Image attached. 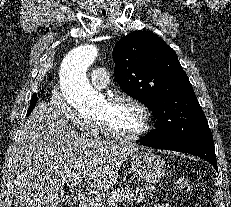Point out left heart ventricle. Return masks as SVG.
Segmentation results:
<instances>
[{"label":"left heart ventricle","instance_id":"b2bd125f","mask_svg":"<svg viewBox=\"0 0 231 207\" xmlns=\"http://www.w3.org/2000/svg\"><path fill=\"white\" fill-rule=\"evenodd\" d=\"M97 118L106 120L115 131L126 135L141 130L144 123L141 111L136 106L126 102L111 105L104 101Z\"/></svg>","mask_w":231,"mask_h":207}]
</instances>
